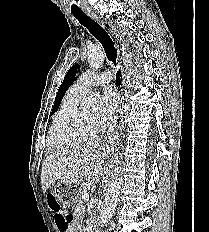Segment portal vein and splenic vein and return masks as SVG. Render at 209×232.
<instances>
[{"instance_id":"portal-vein-and-splenic-vein-1","label":"portal vein and splenic vein","mask_w":209,"mask_h":232,"mask_svg":"<svg viewBox=\"0 0 209 232\" xmlns=\"http://www.w3.org/2000/svg\"><path fill=\"white\" fill-rule=\"evenodd\" d=\"M89 193H84L83 195H82V199L83 200H85V201H87V200H89Z\"/></svg>"}]
</instances>
